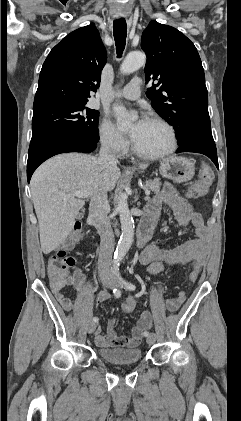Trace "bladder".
<instances>
[{"mask_svg": "<svg viewBox=\"0 0 241 421\" xmlns=\"http://www.w3.org/2000/svg\"><path fill=\"white\" fill-rule=\"evenodd\" d=\"M98 356L105 362L114 365L134 364L141 360L140 349L100 348Z\"/></svg>", "mask_w": 241, "mask_h": 421, "instance_id": "bladder-1", "label": "bladder"}]
</instances>
